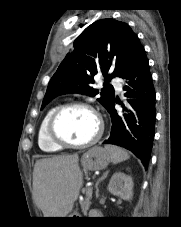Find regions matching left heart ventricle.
I'll use <instances>...</instances> for the list:
<instances>
[{"instance_id": "1", "label": "left heart ventricle", "mask_w": 181, "mask_h": 227, "mask_svg": "<svg viewBox=\"0 0 181 227\" xmlns=\"http://www.w3.org/2000/svg\"><path fill=\"white\" fill-rule=\"evenodd\" d=\"M56 131L71 143H83L96 134L97 121L94 115L84 108H69L59 116Z\"/></svg>"}]
</instances>
